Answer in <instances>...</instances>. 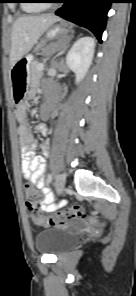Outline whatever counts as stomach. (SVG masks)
<instances>
[{
  "label": "stomach",
  "instance_id": "stomach-1",
  "mask_svg": "<svg viewBox=\"0 0 136 296\" xmlns=\"http://www.w3.org/2000/svg\"><path fill=\"white\" fill-rule=\"evenodd\" d=\"M66 30L62 29L59 26H55L50 29L47 33L48 38H54L57 35L60 37H67ZM62 48V47H55ZM34 60V56L32 54H28L23 56L16 64L12 67V79L13 84H28L27 75L32 73V63ZM14 96L13 101L15 105H22L23 98H25L26 90H30V85H13Z\"/></svg>",
  "mask_w": 136,
  "mask_h": 296
}]
</instances>
